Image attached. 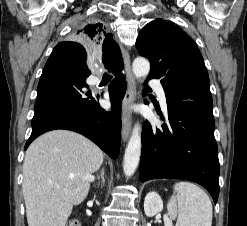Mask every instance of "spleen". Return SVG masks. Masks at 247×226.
I'll return each mask as SVG.
<instances>
[{"mask_svg":"<svg viewBox=\"0 0 247 226\" xmlns=\"http://www.w3.org/2000/svg\"><path fill=\"white\" fill-rule=\"evenodd\" d=\"M168 203L169 213L178 215L176 226H211L212 204L204 190L193 183L178 182Z\"/></svg>","mask_w":247,"mask_h":226,"instance_id":"obj_1","label":"spleen"}]
</instances>
